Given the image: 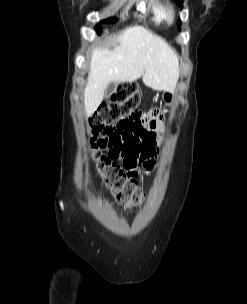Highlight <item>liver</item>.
<instances>
[{
	"instance_id": "obj_1",
	"label": "liver",
	"mask_w": 247,
	"mask_h": 304,
	"mask_svg": "<svg viewBox=\"0 0 247 304\" xmlns=\"http://www.w3.org/2000/svg\"><path fill=\"white\" fill-rule=\"evenodd\" d=\"M141 77L154 90L173 92L179 78V58L161 37L135 26L105 48L93 49L84 90L85 115L97 110L110 82H133Z\"/></svg>"
}]
</instances>
